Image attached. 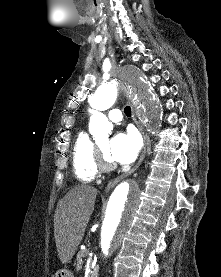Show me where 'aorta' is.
<instances>
[{"label":"aorta","mask_w":221,"mask_h":277,"mask_svg":"<svg viewBox=\"0 0 221 277\" xmlns=\"http://www.w3.org/2000/svg\"><path fill=\"white\" fill-rule=\"evenodd\" d=\"M133 97L142 109L148 124L158 132L162 126L163 108L159 98L136 67L123 70L118 78L102 84L90 99L93 110L89 131L97 140L108 137L112 124L101 112L109 109L116 101L120 87ZM141 202V189L137 183L124 181L111 193L101 225L100 248L104 258L109 257L121 244L130 229Z\"/></svg>","instance_id":"obj_1"}]
</instances>
